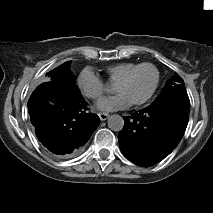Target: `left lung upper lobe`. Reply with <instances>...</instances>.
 Masks as SVG:
<instances>
[{"label":"left lung upper lobe","instance_id":"obj_1","mask_svg":"<svg viewBox=\"0 0 213 213\" xmlns=\"http://www.w3.org/2000/svg\"><path fill=\"white\" fill-rule=\"evenodd\" d=\"M167 99L180 100L184 104L190 106V101L186 92L184 81L178 74H175L171 77L170 80L166 82L161 93L152 104H158Z\"/></svg>","mask_w":213,"mask_h":213}]
</instances>
